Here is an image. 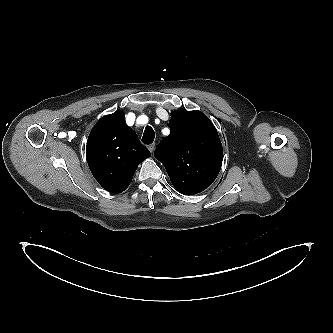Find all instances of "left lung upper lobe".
<instances>
[{"mask_svg": "<svg viewBox=\"0 0 333 333\" xmlns=\"http://www.w3.org/2000/svg\"><path fill=\"white\" fill-rule=\"evenodd\" d=\"M170 135L154 156L164 165L173 186L184 195L202 192L216 179L222 165L218 133L200 111H173Z\"/></svg>", "mask_w": 333, "mask_h": 333, "instance_id": "5c2ea615", "label": "left lung upper lobe"}]
</instances>
